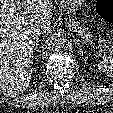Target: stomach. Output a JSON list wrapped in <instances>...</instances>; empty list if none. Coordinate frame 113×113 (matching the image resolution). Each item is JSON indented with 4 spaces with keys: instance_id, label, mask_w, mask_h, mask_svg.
Segmentation results:
<instances>
[{
    "instance_id": "0dacf381",
    "label": "stomach",
    "mask_w": 113,
    "mask_h": 113,
    "mask_svg": "<svg viewBox=\"0 0 113 113\" xmlns=\"http://www.w3.org/2000/svg\"><path fill=\"white\" fill-rule=\"evenodd\" d=\"M60 5L70 14H74L82 4V0H59Z\"/></svg>"
}]
</instances>
